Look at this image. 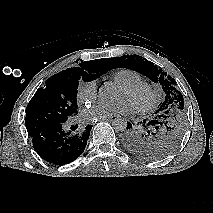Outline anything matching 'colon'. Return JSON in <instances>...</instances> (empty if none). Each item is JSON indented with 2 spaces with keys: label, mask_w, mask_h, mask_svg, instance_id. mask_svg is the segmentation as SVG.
Listing matches in <instances>:
<instances>
[{
  "label": "colon",
  "mask_w": 213,
  "mask_h": 213,
  "mask_svg": "<svg viewBox=\"0 0 213 213\" xmlns=\"http://www.w3.org/2000/svg\"><path fill=\"white\" fill-rule=\"evenodd\" d=\"M178 103H179V101H176V102H175V105L178 104Z\"/></svg>",
  "instance_id": "colon-1"
}]
</instances>
